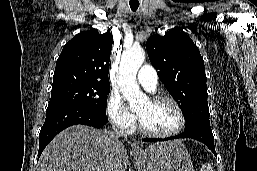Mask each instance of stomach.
<instances>
[{
	"label": "stomach",
	"mask_w": 257,
	"mask_h": 171,
	"mask_svg": "<svg viewBox=\"0 0 257 171\" xmlns=\"http://www.w3.org/2000/svg\"><path fill=\"white\" fill-rule=\"evenodd\" d=\"M133 153L138 171H194L187 149L178 140L153 143Z\"/></svg>",
	"instance_id": "stomach-1"
}]
</instances>
